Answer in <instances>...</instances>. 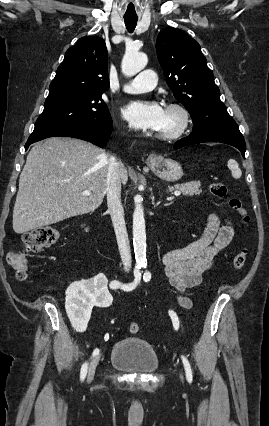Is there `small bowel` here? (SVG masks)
Here are the masks:
<instances>
[{
	"instance_id": "1",
	"label": "small bowel",
	"mask_w": 269,
	"mask_h": 426,
	"mask_svg": "<svg viewBox=\"0 0 269 426\" xmlns=\"http://www.w3.org/2000/svg\"><path fill=\"white\" fill-rule=\"evenodd\" d=\"M235 233L231 221H221L211 215L193 242L164 254L162 262L165 274L175 289L177 301L182 308L189 309L192 306L191 300L184 292L200 284L202 275L211 269L218 253L231 243Z\"/></svg>"
}]
</instances>
